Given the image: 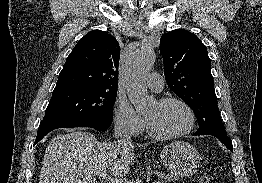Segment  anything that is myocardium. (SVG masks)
Segmentation results:
<instances>
[{
  "label": "myocardium",
  "instance_id": "obj_1",
  "mask_svg": "<svg viewBox=\"0 0 262 183\" xmlns=\"http://www.w3.org/2000/svg\"><path fill=\"white\" fill-rule=\"evenodd\" d=\"M158 105L160 106H165L171 103H178L180 105H182L189 113L190 116V124L189 126L181 131L178 132L176 134H171V135H164V134H160L158 132H156L150 125V123L148 122V120L146 119V129L148 134L157 140H161V141H167V140H174V139H178L181 138L189 133H191L193 131V129L195 128L196 125V114L194 109L191 107V105L189 103H187L185 100L178 98V97H164L161 98L160 100H158Z\"/></svg>",
  "mask_w": 262,
  "mask_h": 183
}]
</instances>
